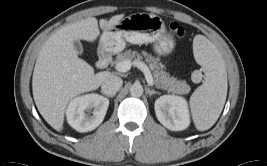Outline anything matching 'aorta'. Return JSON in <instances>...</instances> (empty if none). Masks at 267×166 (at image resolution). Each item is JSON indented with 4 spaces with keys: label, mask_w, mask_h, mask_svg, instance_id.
<instances>
[{
    "label": "aorta",
    "mask_w": 267,
    "mask_h": 166,
    "mask_svg": "<svg viewBox=\"0 0 267 166\" xmlns=\"http://www.w3.org/2000/svg\"><path fill=\"white\" fill-rule=\"evenodd\" d=\"M143 94V87L140 84H133L130 88V95L140 97Z\"/></svg>",
    "instance_id": "1"
}]
</instances>
